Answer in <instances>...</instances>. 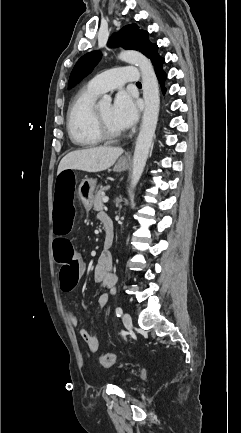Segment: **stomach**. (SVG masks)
I'll use <instances>...</instances> for the list:
<instances>
[{"instance_id": "1", "label": "stomach", "mask_w": 241, "mask_h": 433, "mask_svg": "<svg viewBox=\"0 0 241 433\" xmlns=\"http://www.w3.org/2000/svg\"><path fill=\"white\" fill-rule=\"evenodd\" d=\"M129 166L128 161L125 158H120L115 164L113 170L117 172L125 171ZM96 186V180L85 179L75 188L77 198L81 201L86 209H89L91 203L94 200L93 192Z\"/></svg>"}]
</instances>
